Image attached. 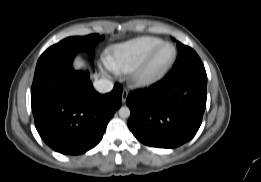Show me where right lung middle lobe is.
Returning a JSON list of instances; mask_svg holds the SVG:
<instances>
[{
    "label": "right lung middle lobe",
    "instance_id": "1",
    "mask_svg": "<svg viewBox=\"0 0 261 182\" xmlns=\"http://www.w3.org/2000/svg\"><path fill=\"white\" fill-rule=\"evenodd\" d=\"M98 34H91L83 37H69L59 43L49 47L39 58L38 63H42L54 56L67 53H77L80 51H91L96 43L101 39ZM93 60V55L91 56Z\"/></svg>",
    "mask_w": 261,
    "mask_h": 182
}]
</instances>
